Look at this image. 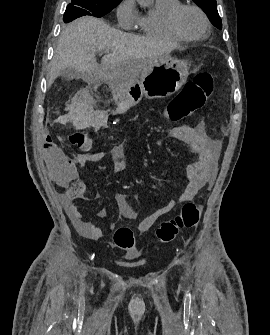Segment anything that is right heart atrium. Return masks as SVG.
I'll return each instance as SVG.
<instances>
[{
    "instance_id": "1",
    "label": "right heart atrium",
    "mask_w": 270,
    "mask_h": 335,
    "mask_svg": "<svg viewBox=\"0 0 270 335\" xmlns=\"http://www.w3.org/2000/svg\"><path fill=\"white\" fill-rule=\"evenodd\" d=\"M135 0H122L117 8V17L121 27L131 28L136 23L138 13L135 7Z\"/></svg>"
}]
</instances>
